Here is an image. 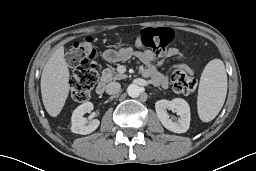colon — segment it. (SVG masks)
Listing matches in <instances>:
<instances>
[{
  "label": "colon",
  "mask_w": 256,
  "mask_h": 171,
  "mask_svg": "<svg viewBox=\"0 0 256 171\" xmlns=\"http://www.w3.org/2000/svg\"><path fill=\"white\" fill-rule=\"evenodd\" d=\"M172 40L173 31L170 28H143L137 34L134 44L139 50L161 56L166 53ZM96 55L97 50L91 37L73 43L67 53V61L74 69L70 79V98L74 103L87 101L98 81ZM170 80L179 93L189 94L196 89V79L185 66H176L171 72Z\"/></svg>",
  "instance_id": "obj_1"
}]
</instances>
